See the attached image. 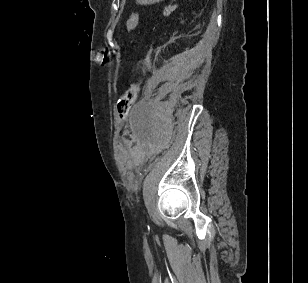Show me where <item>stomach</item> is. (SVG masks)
Masks as SVG:
<instances>
[{
	"label": "stomach",
	"mask_w": 308,
	"mask_h": 283,
	"mask_svg": "<svg viewBox=\"0 0 308 283\" xmlns=\"http://www.w3.org/2000/svg\"><path fill=\"white\" fill-rule=\"evenodd\" d=\"M137 3L141 4V5H146V4H153L156 2H160L162 0H136Z\"/></svg>",
	"instance_id": "1"
}]
</instances>
